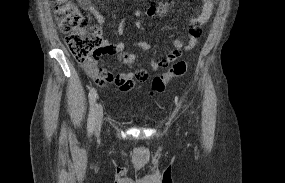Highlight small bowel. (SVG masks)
Listing matches in <instances>:
<instances>
[{
	"label": "small bowel",
	"mask_w": 285,
	"mask_h": 183,
	"mask_svg": "<svg viewBox=\"0 0 285 183\" xmlns=\"http://www.w3.org/2000/svg\"><path fill=\"white\" fill-rule=\"evenodd\" d=\"M83 9L88 11L99 25L105 23V17L91 0H78ZM202 9L198 15L192 16L187 20L189 28V38L187 42L181 39L174 41L175 48L170 51L164 58H152L150 61V69L153 72L161 68H166L170 64L177 61L184 51L193 49L199 40L202 27L205 26L211 19L215 0H201ZM168 3L165 1H153V4L147 10L149 17H161L167 13ZM118 33L123 34L124 23L121 22L118 26ZM140 52H147L150 50V44L146 42H137L133 45ZM102 55L116 56L118 61L126 66H132L137 58L135 51H130L124 42H110L106 39L102 41V47L96 57L83 64L85 73L95 81L99 86H106L107 84L114 85L119 92L127 93L131 91L138 83L146 82L148 79V72L145 69H138L134 72H119L113 73L112 71L97 66L98 58ZM140 77V79L138 78Z\"/></svg>",
	"instance_id": "1"
}]
</instances>
